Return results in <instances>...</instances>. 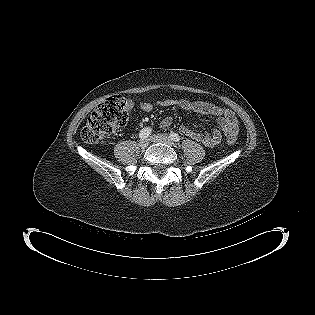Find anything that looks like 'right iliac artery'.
I'll return each instance as SVG.
<instances>
[{"instance_id": "right-iliac-artery-1", "label": "right iliac artery", "mask_w": 315, "mask_h": 315, "mask_svg": "<svg viewBox=\"0 0 315 315\" xmlns=\"http://www.w3.org/2000/svg\"><path fill=\"white\" fill-rule=\"evenodd\" d=\"M152 133V129L149 127L143 128L140 133H139V137L141 139H146L150 136V134Z\"/></svg>"}]
</instances>
